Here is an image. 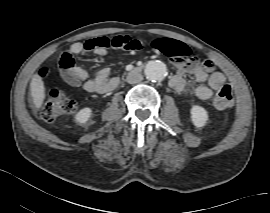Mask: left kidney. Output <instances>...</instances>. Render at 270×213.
<instances>
[{"instance_id":"obj_1","label":"left kidney","mask_w":270,"mask_h":213,"mask_svg":"<svg viewBox=\"0 0 270 213\" xmlns=\"http://www.w3.org/2000/svg\"><path fill=\"white\" fill-rule=\"evenodd\" d=\"M191 120L196 127H203L208 121V113L203 107L194 105L191 108Z\"/></svg>"}]
</instances>
